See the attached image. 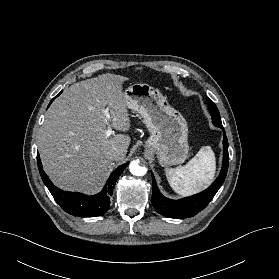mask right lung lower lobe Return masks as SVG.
<instances>
[{
	"label": "right lung lower lobe",
	"instance_id": "1",
	"mask_svg": "<svg viewBox=\"0 0 279 279\" xmlns=\"http://www.w3.org/2000/svg\"><path fill=\"white\" fill-rule=\"evenodd\" d=\"M37 162L41 178L56 202L65 212L79 217L101 216L109 210V196L112 195L117 179L129 163L127 162L115 169V171L110 175L107 185L100 193L94 196H87L81 193L62 191L55 187L47 177L46 173L43 171L42 164L39 160V155H37Z\"/></svg>",
	"mask_w": 279,
	"mask_h": 279
}]
</instances>
